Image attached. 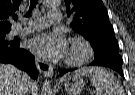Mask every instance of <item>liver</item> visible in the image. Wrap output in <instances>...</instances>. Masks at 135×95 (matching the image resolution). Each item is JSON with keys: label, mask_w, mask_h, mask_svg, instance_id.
Wrapping results in <instances>:
<instances>
[{"label": "liver", "mask_w": 135, "mask_h": 95, "mask_svg": "<svg viewBox=\"0 0 135 95\" xmlns=\"http://www.w3.org/2000/svg\"><path fill=\"white\" fill-rule=\"evenodd\" d=\"M28 89L36 91L37 84L25 72L0 64V95H26Z\"/></svg>", "instance_id": "obj_1"}]
</instances>
